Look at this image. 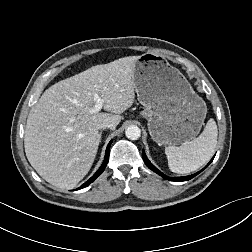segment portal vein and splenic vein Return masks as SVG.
Segmentation results:
<instances>
[{
	"label": "portal vein and splenic vein",
	"mask_w": 252,
	"mask_h": 252,
	"mask_svg": "<svg viewBox=\"0 0 252 252\" xmlns=\"http://www.w3.org/2000/svg\"><path fill=\"white\" fill-rule=\"evenodd\" d=\"M94 101H95V106L92 109H90L91 113H97L103 107V100L99 97L98 94H94Z\"/></svg>",
	"instance_id": "18ae733b"
}]
</instances>
